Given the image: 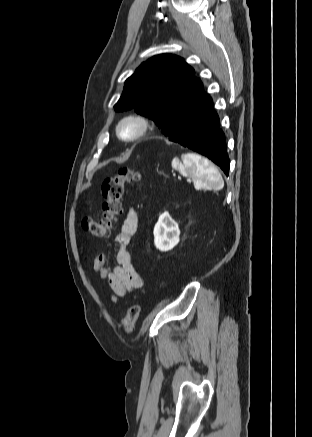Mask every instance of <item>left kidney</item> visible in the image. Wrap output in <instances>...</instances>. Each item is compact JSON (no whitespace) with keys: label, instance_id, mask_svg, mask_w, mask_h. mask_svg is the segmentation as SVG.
<instances>
[{"label":"left kidney","instance_id":"5707ae66","mask_svg":"<svg viewBox=\"0 0 312 437\" xmlns=\"http://www.w3.org/2000/svg\"><path fill=\"white\" fill-rule=\"evenodd\" d=\"M154 244L160 251H169L179 243L178 224L168 212L160 215L154 227Z\"/></svg>","mask_w":312,"mask_h":437}]
</instances>
